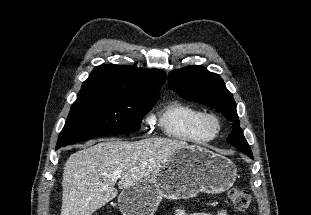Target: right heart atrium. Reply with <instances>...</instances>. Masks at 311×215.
<instances>
[{"instance_id":"d8ad5b80","label":"right heart atrium","mask_w":311,"mask_h":215,"mask_svg":"<svg viewBox=\"0 0 311 215\" xmlns=\"http://www.w3.org/2000/svg\"><path fill=\"white\" fill-rule=\"evenodd\" d=\"M148 123L152 124V123H153V119H152V118H149V119H148Z\"/></svg>"}]
</instances>
